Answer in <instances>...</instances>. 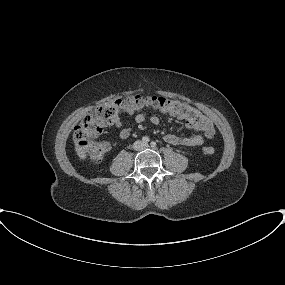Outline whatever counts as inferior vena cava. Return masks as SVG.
Listing matches in <instances>:
<instances>
[{
	"instance_id": "obj_1",
	"label": "inferior vena cava",
	"mask_w": 285,
	"mask_h": 285,
	"mask_svg": "<svg viewBox=\"0 0 285 285\" xmlns=\"http://www.w3.org/2000/svg\"><path fill=\"white\" fill-rule=\"evenodd\" d=\"M147 147V144L144 143L143 141H135L133 144V148L137 151H141Z\"/></svg>"
}]
</instances>
